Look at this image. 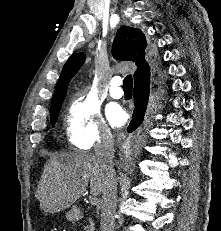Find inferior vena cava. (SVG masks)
<instances>
[{
    "label": "inferior vena cava",
    "instance_id": "obj_1",
    "mask_svg": "<svg viewBox=\"0 0 221 231\" xmlns=\"http://www.w3.org/2000/svg\"><path fill=\"white\" fill-rule=\"evenodd\" d=\"M114 140L110 130H103L95 146V155L106 174L101 201V231H115V209L117 205V180L114 169Z\"/></svg>",
    "mask_w": 221,
    "mask_h": 231
}]
</instances>
